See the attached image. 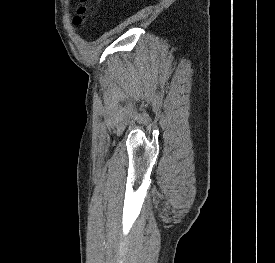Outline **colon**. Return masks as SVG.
I'll use <instances>...</instances> for the list:
<instances>
[{
    "label": "colon",
    "mask_w": 275,
    "mask_h": 263,
    "mask_svg": "<svg viewBox=\"0 0 275 263\" xmlns=\"http://www.w3.org/2000/svg\"><path fill=\"white\" fill-rule=\"evenodd\" d=\"M88 0H81V5L79 6V8L77 9V14L74 17V25H76L77 27L82 25L83 22L85 21L86 18V7H85V3Z\"/></svg>",
    "instance_id": "obj_1"
}]
</instances>
